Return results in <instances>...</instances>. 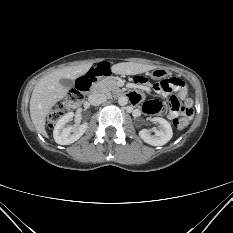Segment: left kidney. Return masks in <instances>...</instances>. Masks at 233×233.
I'll return each instance as SVG.
<instances>
[{
  "label": "left kidney",
  "instance_id": "1",
  "mask_svg": "<svg viewBox=\"0 0 233 233\" xmlns=\"http://www.w3.org/2000/svg\"><path fill=\"white\" fill-rule=\"evenodd\" d=\"M152 121L159 123V129L155 131V135H152L147 129H142L139 132L140 138L152 146L165 145L173 136L170 123L161 117H154Z\"/></svg>",
  "mask_w": 233,
  "mask_h": 233
}]
</instances>
